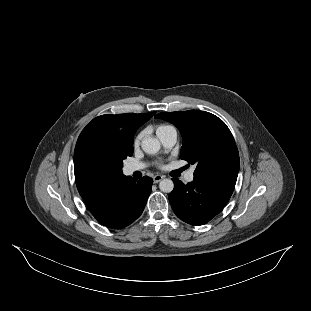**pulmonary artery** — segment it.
<instances>
[{"label":"pulmonary artery","instance_id":"1","mask_svg":"<svg viewBox=\"0 0 311 311\" xmlns=\"http://www.w3.org/2000/svg\"><path fill=\"white\" fill-rule=\"evenodd\" d=\"M162 145L169 149L172 148L177 142V132L174 129H168L159 133L158 135ZM146 168L144 163H130L125 166V171L128 174H132L137 171H142ZM194 180V168H192L187 174L184 176V181L189 183Z\"/></svg>","mask_w":311,"mask_h":311}]
</instances>
